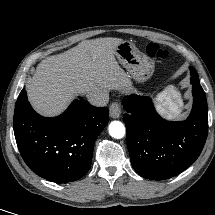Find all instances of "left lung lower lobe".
<instances>
[{
	"label": "left lung lower lobe",
	"instance_id": "obj_1",
	"mask_svg": "<svg viewBox=\"0 0 215 215\" xmlns=\"http://www.w3.org/2000/svg\"><path fill=\"white\" fill-rule=\"evenodd\" d=\"M193 108L184 121H167L155 110L151 98H123L127 145L135 171L144 178L165 180L188 168L200 155L208 133L206 95L193 67Z\"/></svg>",
	"mask_w": 215,
	"mask_h": 215
}]
</instances>
